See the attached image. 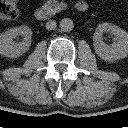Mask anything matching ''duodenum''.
<instances>
[{
  "instance_id": "duodenum-1",
  "label": "duodenum",
  "mask_w": 128,
  "mask_h": 128,
  "mask_svg": "<svg viewBox=\"0 0 128 128\" xmlns=\"http://www.w3.org/2000/svg\"><path fill=\"white\" fill-rule=\"evenodd\" d=\"M75 8L79 12H85L88 10V4L84 0H79L75 4ZM34 15L38 20H42V21L49 20L52 17L51 12L44 7L37 8L34 12Z\"/></svg>"
}]
</instances>
